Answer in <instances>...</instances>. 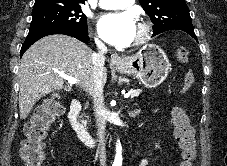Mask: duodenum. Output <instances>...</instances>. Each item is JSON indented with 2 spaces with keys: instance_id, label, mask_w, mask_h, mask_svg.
<instances>
[{
  "instance_id": "obj_1",
  "label": "duodenum",
  "mask_w": 227,
  "mask_h": 166,
  "mask_svg": "<svg viewBox=\"0 0 227 166\" xmlns=\"http://www.w3.org/2000/svg\"><path fill=\"white\" fill-rule=\"evenodd\" d=\"M82 110V102L78 99L72 100L70 104V110L68 113L69 121L77 133L78 138L85 143L89 148L95 147L97 139L92 137L90 133L85 129V127L79 121V114Z\"/></svg>"
}]
</instances>
